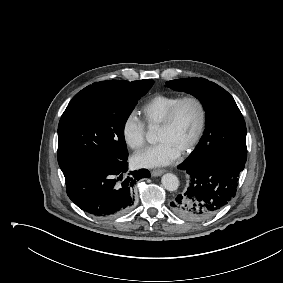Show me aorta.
Here are the masks:
<instances>
[{
  "instance_id": "aorta-1",
  "label": "aorta",
  "mask_w": 283,
  "mask_h": 283,
  "mask_svg": "<svg viewBox=\"0 0 283 283\" xmlns=\"http://www.w3.org/2000/svg\"><path fill=\"white\" fill-rule=\"evenodd\" d=\"M146 140L149 143H155L157 140L156 132L153 128H149L146 134ZM161 182L168 191H176L179 187V180L176 175L167 173L162 176Z\"/></svg>"
}]
</instances>
